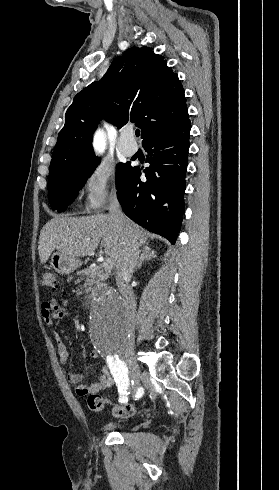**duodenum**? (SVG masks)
I'll use <instances>...</instances> for the list:
<instances>
[{"label":"duodenum","instance_id":"410a0bca","mask_svg":"<svg viewBox=\"0 0 279 490\" xmlns=\"http://www.w3.org/2000/svg\"><path fill=\"white\" fill-rule=\"evenodd\" d=\"M93 295V290L89 289L86 293V296L84 298V305L86 306L88 304V301L90 300L91 296Z\"/></svg>","mask_w":279,"mask_h":490}]
</instances>
